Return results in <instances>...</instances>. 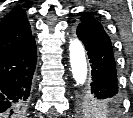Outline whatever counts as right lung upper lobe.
Instances as JSON below:
<instances>
[{
	"label": "right lung upper lobe",
	"instance_id": "1",
	"mask_svg": "<svg viewBox=\"0 0 133 118\" xmlns=\"http://www.w3.org/2000/svg\"><path fill=\"white\" fill-rule=\"evenodd\" d=\"M32 38L25 11L21 7H16L0 21V56Z\"/></svg>",
	"mask_w": 133,
	"mask_h": 118
}]
</instances>
